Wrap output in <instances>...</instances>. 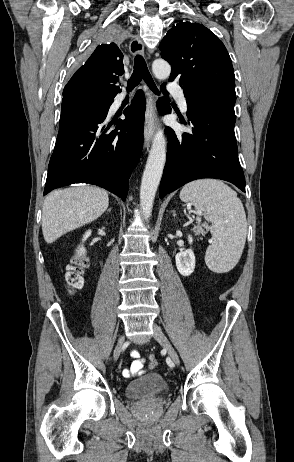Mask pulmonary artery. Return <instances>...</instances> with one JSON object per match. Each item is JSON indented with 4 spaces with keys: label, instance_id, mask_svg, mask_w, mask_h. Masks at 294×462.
<instances>
[{
    "label": "pulmonary artery",
    "instance_id": "pulmonary-artery-1",
    "mask_svg": "<svg viewBox=\"0 0 294 462\" xmlns=\"http://www.w3.org/2000/svg\"><path fill=\"white\" fill-rule=\"evenodd\" d=\"M170 90L173 93L181 111L186 113L187 112V101H186V97L184 95L183 90L180 87L175 86V85H171ZM125 97H126V93L124 92L119 96L118 101L123 100Z\"/></svg>",
    "mask_w": 294,
    "mask_h": 462
}]
</instances>
